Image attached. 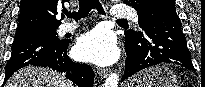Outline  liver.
I'll list each match as a JSON object with an SVG mask.
<instances>
[{
	"instance_id": "6515ba94",
	"label": "liver",
	"mask_w": 205,
	"mask_h": 87,
	"mask_svg": "<svg viewBox=\"0 0 205 87\" xmlns=\"http://www.w3.org/2000/svg\"><path fill=\"white\" fill-rule=\"evenodd\" d=\"M5 87H72L64 76L48 68L28 66L8 80Z\"/></svg>"
}]
</instances>
